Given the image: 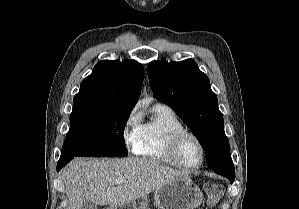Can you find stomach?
Returning a JSON list of instances; mask_svg holds the SVG:
<instances>
[{
	"label": "stomach",
	"mask_w": 299,
	"mask_h": 209,
	"mask_svg": "<svg viewBox=\"0 0 299 209\" xmlns=\"http://www.w3.org/2000/svg\"><path fill=\"white\" fill-rule=\"evenodd\" d=\"M153 198L158 209H197L203 202V193L190 178H180L155 189ZM108 209L117 207L109 206ZM122 209H149L148 199L124 204Z\"/></svg>",
	"instance_id": "stomach-1"
}]
</instances>
